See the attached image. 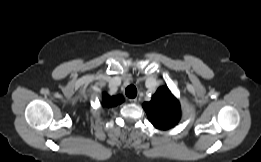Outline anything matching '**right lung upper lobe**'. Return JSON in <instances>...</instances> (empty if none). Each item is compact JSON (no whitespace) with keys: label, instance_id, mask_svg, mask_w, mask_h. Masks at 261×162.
Instances as JSON below:
<instances>
[{"label":"right lung upper lobe","instance_id":"right-lung-upper-lobe-1","mask_svg":"<svg viewBox=\"0 0 261 162\" xmlns=\"http://www.w3.org/2000/svg\"><path fill=\"white\" fill-rule=\"evenodd\" d=\"M124 101L121 95L109 96L106 93H103V106L105 107H114L121 104Z\"/></svg>","mask_w":261,"mask_h":162}]
</instances>
